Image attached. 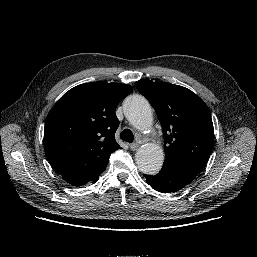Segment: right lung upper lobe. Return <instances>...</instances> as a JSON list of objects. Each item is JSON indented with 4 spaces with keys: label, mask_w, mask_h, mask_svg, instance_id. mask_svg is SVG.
<instances>
[{
    "label": "right lung upper lobe",
    "mask_w": 257,
    "mask_h": 257,
    "mask_svg": "<svg viewBox=\"0 0 257 257\" xmlns=\"http://www.w3.org/2000/svg\"><path fill=\"white\" fill-rule=\"evenodd\" d=\"M132 87L92 82L66 92L50 110L44 128L45 154L62 178L81 186L99 177L120 146L115 109Z\"/></svg>",
    "instance_id": "1"
}]
</instances>
